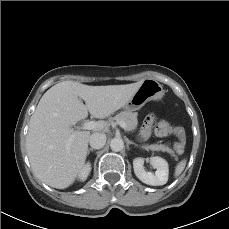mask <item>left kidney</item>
<instances>
[{"label":"left kidney","mask_w":229,"mask_h":229,"mask_svg":"<svg viewBox=\"0 0 229 229\" xmlns=\"http://www.w3.org/2000/svg\"><path fill=\"white\" fill-rule=\"evenodd\" d=\"M150 163L156 169L155 174L146 172L144 169V158L138 157L133 160L134 173L143 183L159 186L168 181L169 167L165 159L155 156L150 158Z\"/></svg>","instance_id":"obj_1"}]
</instances>
